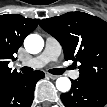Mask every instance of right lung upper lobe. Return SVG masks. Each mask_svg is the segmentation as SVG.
Segmentation results:
<instances>
[{
  "label": "right lung upper lobe",
  "mask_w": 107,
  "mask_h": 107,
  "mask_svg": "<svg viewBox=\"0 0 107 107\" xmlns=\"http://www.w3.org/2000/svg\"><path fill=\"white\" fill-rule=\"evenodd\" d=\"M39 23V19L24 18L21 15L4 14L0 16V79L12 74L8 68L9 59L15 60L13 54L22 45L24 38L31 33Z\"/></svg>",
  "instance_id": "obj_1"
}]
</instances>
